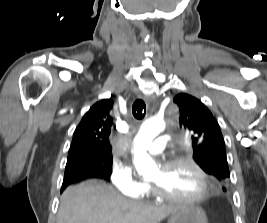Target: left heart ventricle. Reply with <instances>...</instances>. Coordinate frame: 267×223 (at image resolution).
Returning <instances> with one entry per match:
<instances>
[{
  "instance_id": "left-heart-ventricle-1",
  "label": "left heart ventricle",
  "mask_w": 267,
  "mask_h": 223,
  "mask_svg": "<svg viewBox=\"0 0 267 223\" xmlns=\"http://www.w3.org/2000/svg\"><path fill=\"white\" fill-rule=\"evenodd\" d=\"M150 182L162 192L179 198L194 197L202 188L197 172L184 164L168 169L158 168Z\"/></svg>"
}]
</instances>
